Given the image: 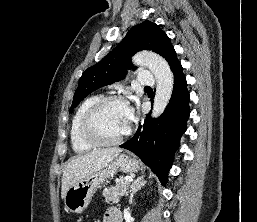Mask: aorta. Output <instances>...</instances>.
<instances>
[{
  "instance_id": "1",
  "label": "aorta",
  "mask_w": 257,
  "mask_h": 222,
  "mask_svg": "<svg viewBox=\"0 0 257 222\" xmlns=\"http://www.w3.org/2000/svg\"><path fill=\"white\" fill-rule=\"evenodd\" d=\"M133 63L148 67L156 78L157 86L152 110V117L156 118L164 112L171 98L174 84L173 73L167 61L153 52L137 53L133 57Z\"/></svg>"
}]
</instances>
